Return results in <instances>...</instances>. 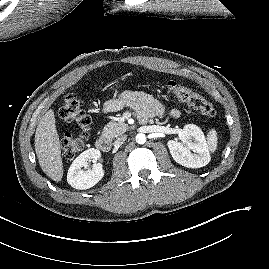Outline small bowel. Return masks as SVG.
Returning <instances> with one entry per match:
<instances>
[{
    "mask_svg": "<svg viewBox=\"0 0 269 269\" xmlns=\"http://www.w3.org/2000/svg\"><path fill=\"white\" fill-rule=\"evenodd\" d=\"M124 106L133 108L142 122L155 116H164L166 113L172 117L180 115V111L176 108L167 112L159 100L142 91H125L119 97L105 102L103 110L111 112Z\"/></svg>",
    "mask_w": 269,
    "mask_h": 269,
    "instance_id": "obj_1",
    "label": "small bowel"
}]
</instances>
